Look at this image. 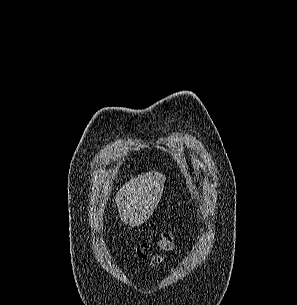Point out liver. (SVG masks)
Segmentation results:
<instances>
[{
  "label": "liver",
  "instance_id": "liver-1",
  "mask_svg": "<svg viewBox=\"0 0 297 305\" xmlns=\"http://www.w3.org/2000/svg\"><path fill=\"white\" fill-rule=\"evenodd\" d=\"M164 180L162 174L151 171L125 183L115 197L121 221L131 227L146 222L162 197Z\"/></svg>",
  "mask_w": 297,
  "mask_h": 305
}]
</instances>
